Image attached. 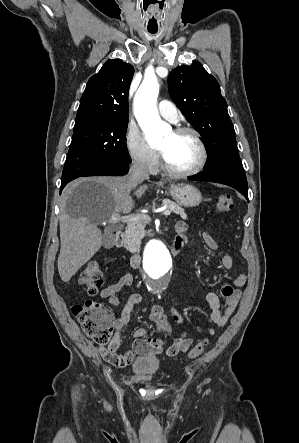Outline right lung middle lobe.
Listing matches in <instances>:
<instances>
[{
	"label": "right lung middle lobe",
	"instance_id": "dd1d6c3e",
	"mask_svg": "<svg viewBox=\"0 0 299 443\" xmlns=\"http://www.w3.org/2000/svg\"><path fill=\"white\" fill-rule=\"evenodd\" d=\"M127 125L128 120L109 119L74 128L61 183L102 165L131 163L125 138Z\"/></svg>",
	"mask_w": 299,
	"mask_h": 443
}]
</instances>
